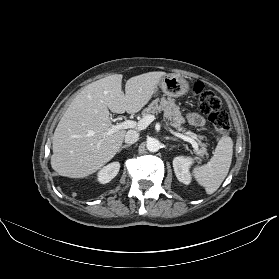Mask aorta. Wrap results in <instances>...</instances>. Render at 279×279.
<instances>
[{
    "instance_id": "aorta-1",
    "label": "aorta",
    "mask_w": 279,
    "mask_h": 279,
    "mask_svg": "<svg viewBox=\"0 0 279 279\" xmlns=\"http://www.w3.org/2000/svg\"><path fill=\"white\" fill-rule=\"evenodd\" d=\"M146 147L150 152H157L161 148V142L156 138H150L147 140Z\"/></svg>"
}]
</instances>
